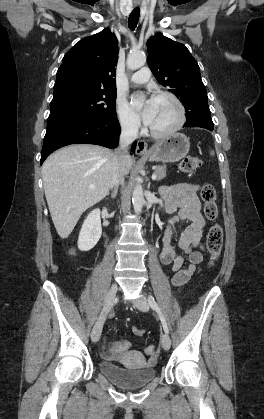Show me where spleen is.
<instances>
[{
	"mask_svg": "<svg viewBox=\"0 0 264 419\" xmlns=\"http://www.w3.org/2000/svg\"><path fill=\"white\" fill-rule=\"evenodd\" d=\"M211 155H214V151H211Z\"/></svg>",
	"mask_w": 264,
	"mask_h": 419,
	"instance_id": "3e777b00",
	"label": "spleen"
}]
</instances>
